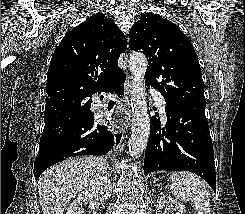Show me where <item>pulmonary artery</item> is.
Here are the masks:
<instances>
[{"instance_id": "1", "label": "pulmonary artery", "mask_w": 245, "mask_h": 214, "mask_svg": "<svg viewBox=\"0 0 245 214\" xmlns=\"http://www.w3.org/2000/svg\"><path fill=\"white\" fill-rule=\"evenodd\" d=\"M152 95L154 97V100L157 104V106L159 107L161 113L164 115L165 110H164V106H165V101L164 98L162 97V95L158 92L152 91Z\"/></svg>"}]
</instances>
